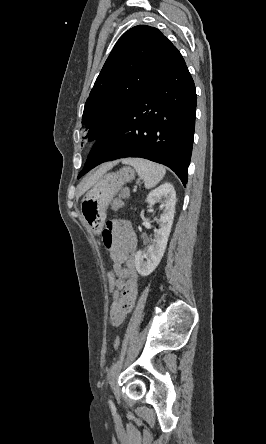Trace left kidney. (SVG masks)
<instances>
[{
    "label": "left kidney",
    "mask_w": 266,
    "mask_h": 444,
    "mask_svg": "<svg viewBox=\"0 0 266 444\" xmlns=\"http://www.w3.org/2000/svg\"><path fill=\"white\" fill-rule=\"evenodd\" d=\"M157 201H162L164 205L163 213L157 222L159 228L154 230V239L146 252L139 250L135 255V266L141 276H148L156 269L167 246L176 204V192L171 183H164L149 193L147 196L149 207L151 208Z\"/></svg>",
    "instance_id": "5707ae66"
}]
</instances>
